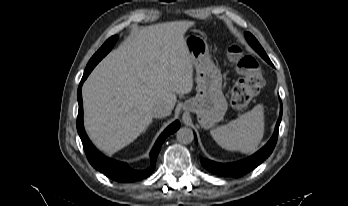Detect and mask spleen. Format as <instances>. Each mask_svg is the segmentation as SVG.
I'll list each match as a JSON object with an SVG mask.
<instances>
[{
    "label": "spleen",
    "mask_w": 348,
    "mask_h": 206,
    "mask_svg": "<svg viewBox=\"0 0 348 206\" xmlns=\"http://www.w3.org/2000/svg\"><path fill=\"white\" fill-rule=\"evenodd\" d=\"M213 139L222 148L252 154L257 149L264 135V112L261 105L210 131Z\"/></svg>",
    "instance_id": "3e777b00"
}]
</instances>
